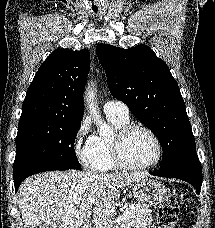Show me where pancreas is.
I'll return each mask as SVG.
<instances>
[{
	"label": "pancreas",
	"mask_w": 215,
	"mask_h": 228,
	"mask_svg": "<svg viewBox=\"0 0 215 228\" xmlns=\"http://www.w3.org/2000/svg\"><path fill=\"white\" fill-rule=\"evenodd\" d=\"M152 222L153 218L148 206H138L128 220H120V224H118L117 220H114L112 224L113 228H148Z\"/></svg>",
	"instance_id": "1"
}]
</instances>
